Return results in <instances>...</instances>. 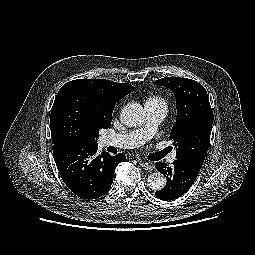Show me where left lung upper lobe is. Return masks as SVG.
Here are the masks:
<instances>
[{
	"instance_id": "1",
	"label": "left lung upper lobe",
	"mask_w": 255,
	"mask_h": 255,
	"mask_svg": "<svg viewBox=\"0 0 255 255\" xmlns=\"http://www.w3.org/2000/svg\"><path fill=\"white\" fill-rule=\"evenodd\" d=\"M154 84L171 89L176 99L177 117L169 137L175 143L176 158L202 166L213 123L205 88L194 80L181 77L162 78Z\"/></svg>"
}]
</instances>
